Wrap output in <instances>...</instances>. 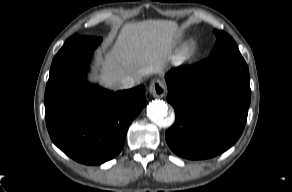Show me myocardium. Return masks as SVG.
Instances as JSON below:
<instances>
[{
	"label": "myocardium",
	"instance_id": "f54148a6",
	"mask_svg": "<svg viewBox=\"0 0 292 192\" xmlns=\"http://www.w3.org/2000/svg\"><path fill=\"white\" fill-rule=\"evenodd\" d=\"M197 49H198L197 42L195 40H190L184 45L181 52V56L184 59H191L196 54Z\"/></svg>",
	"mask_w": 292,
	"mask_h": 192
}]
</instances>
